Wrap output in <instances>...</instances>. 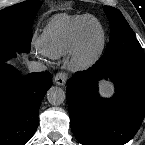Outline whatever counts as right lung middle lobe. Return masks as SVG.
<instances>
[{
	"instance_id": "dd1d6c3e",
	"label": "right lung middle lobe",
	"mask_w": 145,
	"mask_h": 145,
	"mask_svg": "<svg viewBox=\"0 0 145 145\" xmlns=\"http://www.w3.org/2000/svg\"><path fill=\"white\" fill-rule=\"evenodd\" d=\"M40 6V1L29 0L0 11V62L14 57L17 51L29 52L31 28Z\"/></svg>"
}]
</instances>
